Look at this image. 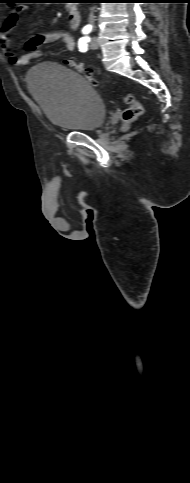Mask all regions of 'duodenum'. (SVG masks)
I'll return each instance as SVG.
<instances>
[{
  "mask_svg": "<svg viewBox=\"0 0 190 483\" xmlns=\"http://www.w3.org/2000/svg\"><path fill=\"white\" fill-rule=\"evenodd\" d=\"M68 21L71 28H77L80 22V13L77 8L72 7L68 10Z\"/></svg>",
  "mask_w": 190,
  "mask_h": 483,
  "instance_id": "410a0bca",
  "label": "duodenum"
}]
</instances>
